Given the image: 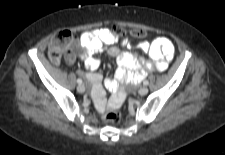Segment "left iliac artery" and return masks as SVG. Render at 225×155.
<instances>
[{"label":"left iliac artery","mask_w":225,"mask_h":155,"mask_svg":"<svg viewBox=\"0 0 225 155\" xmlns=\"http://www.w3.org/2000/svg\"><path fill=\"white\" fill-rule=\"evenodd\" d=\"M143 84L147 86V85L149 84V82H148L147 80H145V81L143 82Z\"/></svg>","instance_id":"1"}]
</instances>
